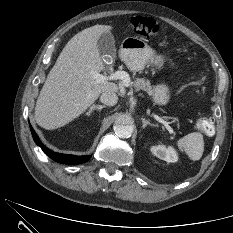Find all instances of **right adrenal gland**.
I'll list each match as a JSON object with an SVG mask.
<instances>
[{
    "mask_svg": "<svg viewBox=\"0 0 233 233\" xmlns=\"http://www.w3.org/2000/svg\"><path fill=\"white\" fill-rule=\"evenodd\" d=\"M103 108H105L104 105H99V104L95 105V104H93V105L90 107L89 111L86 113V115L90 116V114H91L94 110H98L99 112H101V110H102Z\"/></svg>",
    "mask_w": 233,
    "mask_h": 233,
    "instance_id": "right-adrenal-gland-1",
    "label": "right adrenal gland"
}]
</instances>
